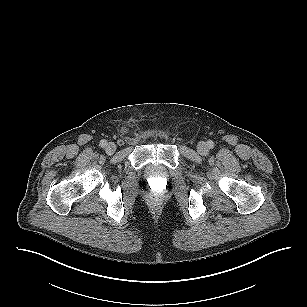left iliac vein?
<instances>
[{
  "label": "left iliac vein",
  "instance_id": "obj_1",
  "mask_svg": "<svg viewBox=\"0 0 307 307\" xmlns=\"http://www.w3.org/2000/svg\"><path fill=\"white\" fill-rule=\"evenodd\" d=\"M209 149L205 142H199L197 144V152L201 155H206L208 153Z\"/></svg>",
  "mask_w": 307,
  "mask_h": 307
}]
</instances>
